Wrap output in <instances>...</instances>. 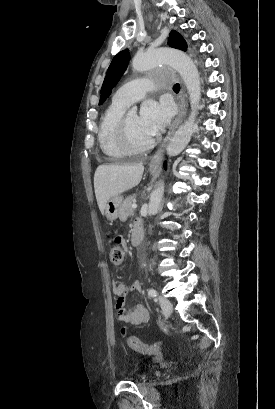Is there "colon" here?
<instances>
[{"label":"colon","instance_id":"5ec220e1","mask_svg":"<svg viewBox=\"0 0 275 409\" xmlns=\"http://www.w3.org/2000/svg\"><path fill=\"white\" fill-rule=\"evenodd\" d=\"M107 240L110 247L111 262L114 266H119L124 259V250L121 247L122 237L119 233H109ZM126 340L129 348L134 351H141L143 358H152L154 356L153 350H157L159 347L157 343L141 342L130 335L127 336Z\"/></svg>","mask_w":275,"mask_h":409}]
</instances>
